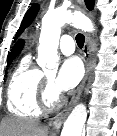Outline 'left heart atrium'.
Here are the masks:
<instances>
[{
  "label": "left heart atrium",
  "mask_w": 117,
  "mask_h": 136,
  "mask_svg": "<svg viewBox=\"0 0 117 136\" xmlns=\"http://www.w3.org/2000/svg\"><path fill=\"white\" fill-rule=\"evenodd\" d=\"M83 76V67L79 59L66 58L58 71L55 88L59 92H65L74 88Z\"/></svg>",
  "instance_id": "left-heart-atrium-1"
}]
</instances>
